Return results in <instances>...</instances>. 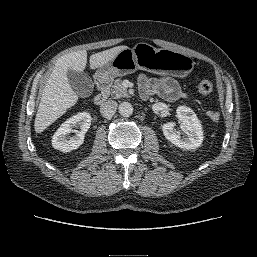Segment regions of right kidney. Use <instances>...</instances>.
<instances>
[{
    "mask_svg": "<svg viewBox=\"0 0 257 257\" xmlns=\"http://www.w3.org/2000/svg\"><path fill=\"white\" fill-rule=\"evenodd\" d=\"M91 125V115L87 112L78 113L67 119L52 137V146L61 152H70L76 150L84 142V135ZM80 127V130H73L74 127ZM75 132L70 137L69 134Z\"/></svg>",
    "mask_w": 257,
    "mask_h": 257,
    "instance_id": "right-kidney-1",
    "label": "right kidney"
}]
</instances>
